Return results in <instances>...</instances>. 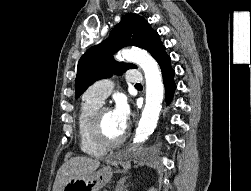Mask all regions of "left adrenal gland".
Listing matches in <instances>:
<instances>
[{
    "mask_svg": "<svg viewBox=\"0 0 251 191\" xmlns=\"http://www.w3.org/2000/svg\"><path fill=\"white\" fill-rule=\"evenodd\" d=\"M124 181H126L125 177L117 181L116 191H126L125 187H127V185H124Z\"/></svg>",
    "mask_w": 251,
    "mask_h": 191,
    "instance_id": "a2214340",
    "label": "left adrenal gland"
}]
</instances>
